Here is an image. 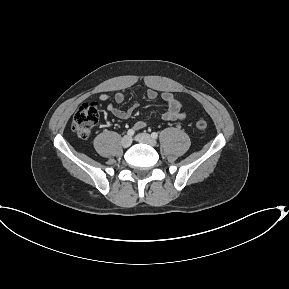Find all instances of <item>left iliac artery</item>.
I'll list each match as a JSON object with an SVG mask.
<instances>
[{"mask_svg": "<svg viewBox=\"0 0 289 289\" xmlns=\"http://www.w3.org/2000/svg\"><path fill=\"white\" fill-rule=\"evenodd\" d=\"M151 137L154 138V139H156V138L158 137V134H157L156 132H153V133L151 134Z\"/></svg>", "mask_w": 289, "mask_h": 289, "instance_id": "obj_1", "label": "left iliac artery"}]
</instances>
